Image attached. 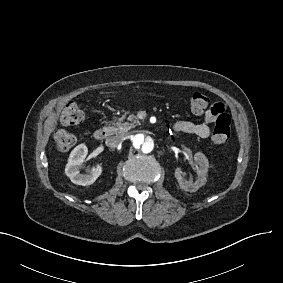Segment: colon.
I'll return each mask as SVG.
<instances>
[{"instance_id":"1","label":"colon","mask_w":283,"mask_h":283,"mask_svg":"<svg viewBox=\"0 0 283 283\" xmlns=\"http://www.w3.org/2000/svg\"><path fill=\"white\" fill-rule=\"evenodd\" d=\"M210 103L209 97L201 92L194 93L190 98V111L195 115L203 114ZM84 118L81 108L75 103L67 104L61 114V122L64 125H78ZM212 141L215 144L225 143L230 135L231 118L228 116L223 121L213 122ZM56 147L61 151L71 149L77 141L75 134L66 130H57L54 133Z\"/></svg>"}]
</instances>
